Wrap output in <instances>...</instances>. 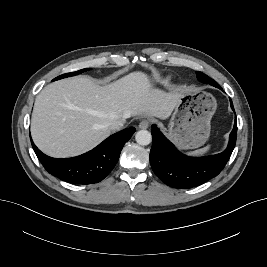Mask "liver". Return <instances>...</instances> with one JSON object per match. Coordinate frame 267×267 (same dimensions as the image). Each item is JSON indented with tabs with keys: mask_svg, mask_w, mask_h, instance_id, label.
<instances>
[{
	"mask_svg": "<svg viewBox=\"0 0 267 267\" xmlns=\"http://www.w3.org/2000/svg\"><path fill=\"white\" fill-rule=\"evenodd\" d=\"M183 93L154 88L141 71L103 87L85 76L59 80L38 94L31 135L36 146L49 156H77L107 138L112 121L125 122L134 116L167 119Z\"/></svg>",
	"mask_w": 267,
	"mask_h": 267,
	"instance_id": "1",
	"label": "liver"
}]
</instances>
